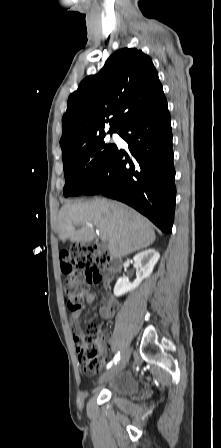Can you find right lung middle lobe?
Instances as JSON below:
<instances>
[{
  "mask_svg": "<svg viewBox=\"0 0 221 448\" xmlns=\"http://www.w3.org/2000/svg\"><path fill=\"white\" fill-rule=\"evenodd\" d=\"M104 137L89 142L63 159L65 175L63 193L66 197L83 194L112 158L117 146L106 142Z\"/></svg>",
  "mask_w": 221,
  "mask_h": 448,
  "instance_id": "right-lung-middle-lobe-1",
  "label": "right lung middle lobe"
}]
</instances>
